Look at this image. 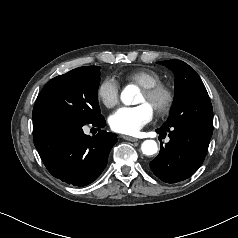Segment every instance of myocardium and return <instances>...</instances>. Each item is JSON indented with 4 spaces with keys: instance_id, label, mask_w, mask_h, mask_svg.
<instances>
[{
    "instance_id": "1",
    "label": "myocardium",
    "mask_w": 238,
    "mask_h": 238,
    "mask_svg": "<svg viewBox=\"0 0 238 238\" xmlns=\"http://www.w3.org/2000/svg\"><path fill=\"white\" fill-rule=\"evenodd\" d=\"M142 92L158 114L165 115L170 112L174 103V93L167 85L158 83L142 88Z\"/></svg>"
}]
</instances>
